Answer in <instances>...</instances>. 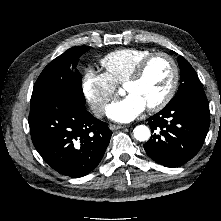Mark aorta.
<instances>
[{
  "label": "aorta",
  "instance_id": "762f6f07",
  "mask_svg": "<svg viewBox=\"0 0 221 221\" xmlns=\"http://www.w3.org/2000/svg\"><path fill=\"white\" fill-rule=\"evenodd\" d=\"M133 135L136 140L144 142L149 140L151 136L150 129L145 125H138L133 130Z\"/></svg>",
  "mask_w": 221,
  "mask_h": 221
}]
</instances>
